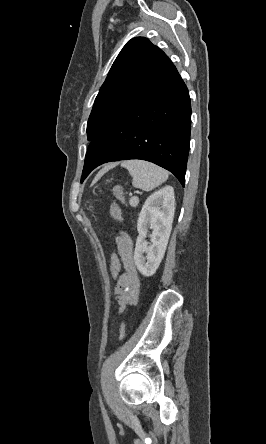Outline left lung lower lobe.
<instances>
[{
    "mask_svg": "<svg viewBox=\"0 0 266 444\" xmlns=\"http://www.w3.org/2000/svg\"><path fill=\"white\" fill-rule=\"evenodd\" d=\"M190 128L188 89L175 69L101 128L86 154L81 181L103 163L142 159L169 170L184 186Z\"/></svg>",
    "mask_w": 266,
    "mask_h": 444,
    "instance_id": "1",
    "label": "left lung lower lobe"
}]
</instances>
